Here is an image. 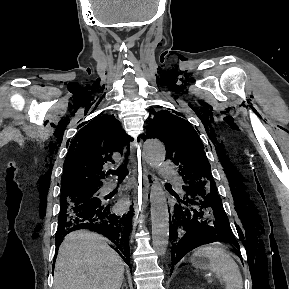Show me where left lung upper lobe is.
<instances>
[{
	"label": "left lung upper lobe",
	"instance_id": "5c2ea615",
	"mask_svg": "<svg viewBox=\"0 0 289 289\" xmlns=\"http://www.w3.org/2000/svg\"><path fill=\"white\" fill-rule=\"evenodd\" d=\"M147 131V138H158L165 144L166 156L178 166L184 185L202 183L205 187H215L204 146L186 120L168 111L154 112Z\"/></svg>",
	"mask_w": 289,
	"mask_h": 289
}]
</instances>
